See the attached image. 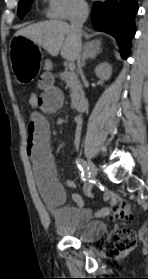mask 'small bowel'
I'll return each mask as SVG.
<instances>
[{"instance_id": "small-bowel-1", "label": "small bowel", "mask_w": 148, "mask_h": 279, "mask_svg": "<svg viewBox=\"0 0 148 279\" xmlns=\"http://www.w3.org/2000/svg\"><path fill=\"white\" fill-rule=\"evenodd\" d=\"M42 89L38 97L37 110L31 115L28 125L27 153L32 161L36 182L43 200L53 210L58 220L70 225H77L92 217L90 210L83 207V199L79 194L71 196L74 207H62L65 201V192L57 179V172L51 152V130L45 114L58 111L63 105V94L55 85L53 74L45 72L39 79ZM69 188L75 187L73 180H66ZM104 199L109 202L108 207L95 212V216L103 217L110 213L111 208L119 202L118 196L107 192Z\"/></svg>"}]
</instances>
